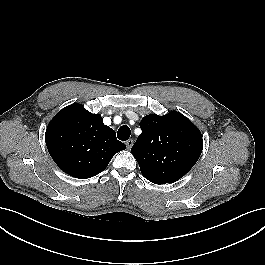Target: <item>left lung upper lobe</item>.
Returning <instances> with one entry per match:
<instances>
[{
  "instance_id": "5c2ea615",
  "label": "left lung upper lobe",
  "mask_w": 265,
  "mask_h": 265,
  "mask_svg": "<svg viewBox=\"0 0 265 265\" xmlns=\"http://www.w3.org/2000/svg\"><path fill=\"white\" fill-rule=\"evenodd\" d=\"M140 127L142 133L131 152L147 180L155 184L173 183L199 159L203 149L202 134L181 113L147 115Z\"/></svg>"
}]
</instances>
